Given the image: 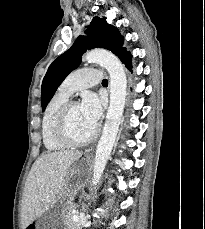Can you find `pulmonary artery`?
Listing matches in <instances>:
<instances>
[{
    "label": "pulmonary artery",
    "instance_id": "1",
    "mask_svg": "<svg viewBox=\"0 0 205 229\" xmlns=\"http://www.w3.org/2000/svg\"><path fill=\"white\" fill-rule=\"evenodd\" d=\"M103 74L100 70L95 68H81L72 72L61 84L59 91L71 96L74 92L102 82Z\"/></svg>",
    "mask_w": 205,
    "mask_h": 229
}]
</instances>
